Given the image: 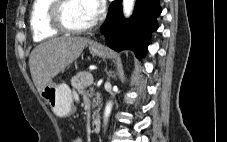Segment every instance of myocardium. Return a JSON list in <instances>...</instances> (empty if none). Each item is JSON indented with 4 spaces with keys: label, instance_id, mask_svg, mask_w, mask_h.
<instances>
[{
    "label": "myocardium",
    "instance_id": "f54148a6",
    "mask_svg": "<svg viewBox=\"0 0 227 142\" xmlns=\"http://www.w3.org/2000/svg\"><path fill=\"white\" fill-rule=\"evenodd\" d=\"M69 2L70 0H54L48 10V20L50 25L59 32L70 34L84 33L93 29L96 26V20L82 27H74L68 24L65 19V9Z\"/></svg>",
    "mask_w": 227,
    "mask_h": 142
}]
</instances>
